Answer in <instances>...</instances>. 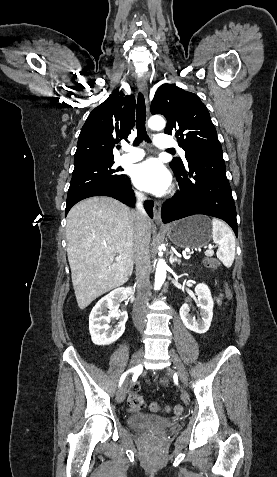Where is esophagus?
Instances as JSON below:
<instances>
[{
    "label": "esophagus",
    "instance_id": "obj_1",
    "mask_svg": "<svg viewBox=\"0 0 277 477\" xmlns=\"http://www.w3.org/2000/svg\"><path fill=\"white\" fill-rule=\"evenodd\" d=\"M137 86H138L139 91L144 94L146 102H148V98H147L148 87H147V83H146V81L143 77H138ZM153 211H154V221L156 223H161V202L160 201H155L154 202Z\"/></svg>",
    "mask_w": 277,
    "mask_h": 477
}]
</instances>
